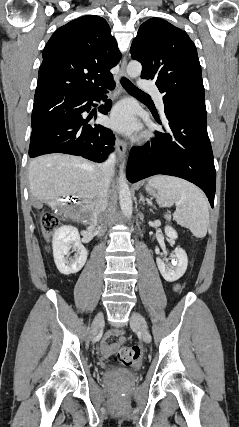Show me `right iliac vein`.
Masks as SVG:
<instances>
[{"label": "right iliac vein", "mask_w": 239, "mask_h": 427, "mask_svg": "<svg viewBox=\"0 0 239 427\" xmlns=\"http://www.w3.org/2000/svg\"><path fill=\"white\" fill-rule=\"evenodd\" d=\"M104 322V316L102 312H99L95 319L93 320L92 326H91V334L92 336L96 335L99 328L103 325Z\"/></svg>", "instance_id": "63e3f726"}]
</instances>
